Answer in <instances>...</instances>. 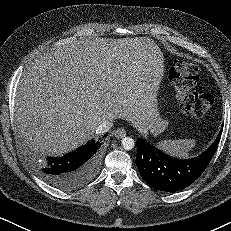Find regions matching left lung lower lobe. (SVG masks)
Returning <instances> with one entry per match:
<instances>
[{
  "label": "left lung lower lobe",
  "mask_w": 231,
  "mask_h": 231,
  "mask_svg": "<svg viewBox=\"0 0 231 231\" xmlns=\"http://www.w3.org/2000/svg\"><path fill=\"white\" fill-rule=\"evenodd\" d=\"M216 140L199 156L192 159L173 158L147 141L137 139L136 165L141 177L160 191L175 192L193 183L206 169L220 141Z\"/></svg>",
  "instance_id": "left-lung-lower-lobe-1"
}]
</instances>
